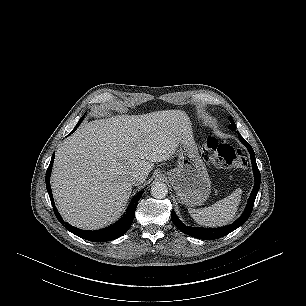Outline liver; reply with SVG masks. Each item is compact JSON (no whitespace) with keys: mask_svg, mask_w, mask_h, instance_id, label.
<instances>
[{"mask_svg":"<svg viewBox=\"0 0 306 306\" xmlns=\"http://www.w3.org/2000/svg\"><path fill=\"white\" fill-rule=\"evenodd\" d=\"M192 134L184 111L122 115L82 124L57 148L51 187L64 220L82 229L112 224L132 192L134 171L145 177Z\"/></svg>","mask_w":306,"mask_h":306,"instance_id":"obj_1","label":"liver"}]
</instances>
